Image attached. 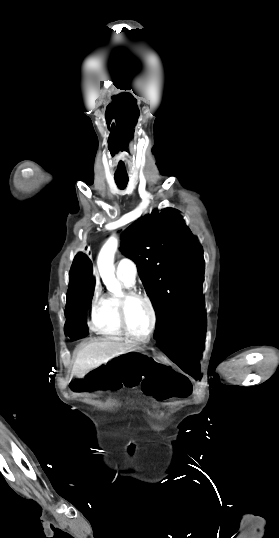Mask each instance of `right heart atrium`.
<instances>
[{
    "mask_svg": "<svg viewBox=\"0 0 279 538\" xmlns=\"http://www.w3.org/2000/svg\"><path fill=\"white\" fill-rule=\"evenodd\" d=\"M133 220H134V217L131 218V221H133ZM94 298H95L96 300L100 298V296H99V292H98L97 290H95V292H94Z\"/></svg>",
    "mask_w": 279,
    "mask_h": 538,
    "instance_id": "obj_1",
    "label": "right heart atrium"
}]
</instances>
